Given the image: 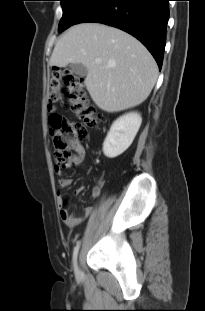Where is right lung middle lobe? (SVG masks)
Listing matches in <instances>:
<instances>
[{
    "instance_id": "right-lung-middle-lobe-1",
    "label": "right lung middle lobe",
    "mask_w": 205,
    "mask_h": 311,
    "mask_svg": "<svg viewBox=\"0 0 205 311\" xmlns=\"http://www.w3.org/2000/svg\"><path fill=\"white\" fill-rule=\"evenodd\" d=\"M63 8V16L59 23V32L64 31L86 10L92 0H60Z\"/></svg>"
}]
</instances>
